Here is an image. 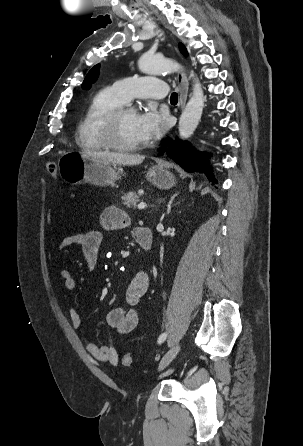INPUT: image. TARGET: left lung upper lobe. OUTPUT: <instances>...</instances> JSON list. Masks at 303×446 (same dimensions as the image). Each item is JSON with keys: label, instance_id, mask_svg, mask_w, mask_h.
Here are the masks:
<instances>
[{"label": "left lung upper lobe", "instance_id": "5c2ea615", "mask_svg": "<svg viewBox=\"0 0 303 446\" xmlns=\"http://www.w3.org/2000/svg\"><path fill=\"white\" fill-rule=\"evenodd\" d=\"M180 49H181L182 53L187 55L184 46L181 44H180ZM99 67H100V65L97 64L89 71V73L85 77L84 82L82 84V87L84 89H89L91 87V84L95 82V80L97 79V77L99 75Z\"/></svg>", "mask_w": 303, "mask_h": 446}]
</instances>
